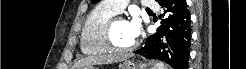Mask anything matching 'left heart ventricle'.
<instances>
[{"instance_id": "left-heart-ventricle-1", "label": "left heart ventricle", "mask_w": 246, "mask_h": 69, "mask_svg": "<svg viewBox=\"0 0 246 69\" xmlns=\"http://www.w3.org/2000/svg\"><path fill=\"white\" fill-rule=\"evenodd\" d=\"M112 40L120 47L131 46L135 43V39L132 37L126 21H119L115 24L112 32Z\"/></svg>"}]
</instances>
